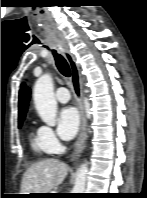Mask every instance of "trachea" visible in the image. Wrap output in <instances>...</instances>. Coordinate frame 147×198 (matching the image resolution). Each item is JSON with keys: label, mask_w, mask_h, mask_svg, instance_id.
<instances>
[{"label": "trachea", "mask_w": 147, "mask_h": 198, "mask_svg": "<svg viewBox=\"0 0 147 198\" xmlns=\"http://www.w3.org/2000/svg\"><path fill=\"white\" fill-rule=\"evenodd\" d=\"M53 56L55 59L56 66L60 73L65 77H70L71 71L66 59L61 54L57 53L56 50H53Z\"/></svg>", "instance_id": "3493384b"}]
</instances>
